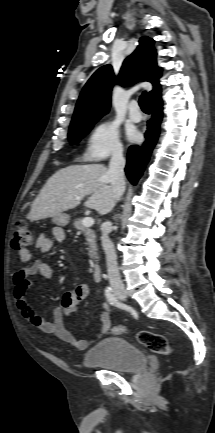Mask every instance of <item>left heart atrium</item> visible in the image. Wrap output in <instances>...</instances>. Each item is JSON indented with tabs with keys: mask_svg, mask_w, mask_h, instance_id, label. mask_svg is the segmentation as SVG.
I'll return each instance as SVG.
<instances>
[{
	"mask_svg": "<svg viewBox=\"0 0 215 433\" xmlns=\"http://www.w3.org/2000/svg\"><path fill=\"white\" fill-rule=\"evenodd\" d=\"M128 135H129V138L131 140H135L137 138V136H138V134H137V132L135 130H130L129 133H128Z\"/></svg>",
	"mask_w": 215,
	"mask_h": 433,
	"instance_id": "39dd6f15",
	"label": "left heart atrium"
}]
</instances>
